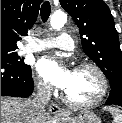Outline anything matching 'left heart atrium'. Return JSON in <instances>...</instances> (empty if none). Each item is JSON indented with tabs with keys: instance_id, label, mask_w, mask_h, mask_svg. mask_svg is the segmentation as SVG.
<instances>
[{
	"instance_id": "obj_1",
	"label": "left heart atrium",
	"mask_w": 122,
	"mask_h": 123,
	"mask_svg": "<svg viewBox=\"0 0 122 123\" xmlns=\"http://www.w3.org/2000/svg\"><path fill=\"white\" fill-rule=\"evenodd\" d=\"M39 75L49 84L65 90L72 79L73 70L53 56H44L37 63Z\"/></svg>"
}]
</instances>
